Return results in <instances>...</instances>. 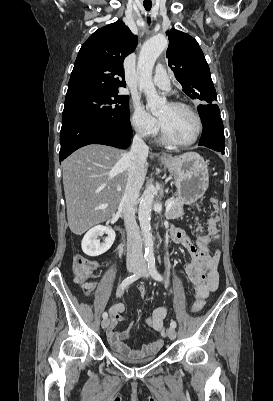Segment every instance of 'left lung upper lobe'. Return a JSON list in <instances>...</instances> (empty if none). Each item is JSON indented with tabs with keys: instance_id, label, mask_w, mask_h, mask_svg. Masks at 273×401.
I'll list each match as a JSON object with an SVG mask.
<instances>
[{
	"instance_id": "left-lung-upper-lobe-1",
	"label": "left lung upper lobe",
	"mask_w": 273,
	"mask_h": 401,
	"mask_svg": "<svg viewBox=\"0 0 273 401\" xmlns=\"http://www.w3.org/2000/svg\"><path fill=\"white\" fill-rule=\"evenodd\" d=\"M167 49L168 65L182 90L192 99L217 101L209 66L197 41L190 35L171 29Z\"/></svg>"
}]
</instances>
